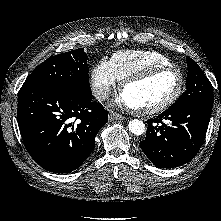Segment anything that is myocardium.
Wrapping results in <instances>:
<instances>
[{"instance_id": "f54148a6", "label": "myocardium", "mask_w": 221, "mask_h": 221, "mask_svg": "<svg viewBox=\"0 0 221 221\" xmlns=\"http://www.w3.org/2000/svg\"><path fill=\"white\" fill-rule=\"evenodd\" d=\"M168 71L176 72L179 77V84H178V87H177L175 93L170 98H168L166 101H164L156 106L145 108V109L131 108V109H133V111L136 114L152 115V114L160 113V112L168 109L169 107H171L173 104H175L178 101V99L180 98V96L182 95L184 87H185L184 73L182 72L181 69H179L178 67L173 66V65L156 66V67H151V68L145 69L143 71H140L138 73H135V74L125 78L121 82L120 91L122 93L124 91V89L131 84L142 82V81L147 80L157 74H160L163 72H168Z\"/></svg>"}]
</instances>
